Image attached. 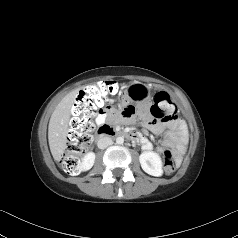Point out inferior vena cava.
I'll return each mask as SVG.
<instances>
[{"instance_id": "obj_1", "label": "inferior vena cava", "mask_w": 238, "mask_h": 238, "mask_svg": "<svg viewBox=\"0 0 238 238\" xmlns=\"http://www.w3.org/2000/svg\"><path fill=\"white\" fill-rule=\"evenodd\" d=\"M112 139L107 137V136H104V137H101L98 142H97V146L98 148L100 149H105L107 148L108 146L112 145Z\"/></svg>"}]
</instances>
